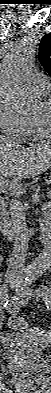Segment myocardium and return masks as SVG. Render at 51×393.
Returning a JSON list of instances; mask_svg holds the SVG:
<instances>
[{
  "label": "myocardium",
  "mask_w": 51,
  "mask_h": 393,
  "mask_svg": "<svg viewBox=\"0 0 51 393\" xmlns=\"http://www.w3.org/2000/svg\"><path fill=\"white\" fill-rule=\"evenodd\" d=\"M43 105L48 107L50 116L48 119L41 117V116H35V121L42 133V135L46 138H49L51 136V98L46 99L43 102Z\"/></svg>",
  "instance_id": "obj_1"
}]
</instances>
